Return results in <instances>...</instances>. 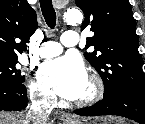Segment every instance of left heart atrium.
Returning a JSON list of instances; mask_svg holds the SVG:
<instances>
[{
	"instance_id": "left-heart-atrium-1",
	"label": "left heart atrium",
	"mask_w": 145,
	"mask_h": 124,
	"mask_svg": "<svg viewBox=\"0 0 145 124\" xmlns=\"http://www.w3.org/2000/svg\"><path fill=\"white\" fill-rule=\"evenodd\" d=\"M40 80L59 96L76 100L88 79L82 61L75 56H65L44 63L40 68Z\"/></svg>"
}]
</instances>
